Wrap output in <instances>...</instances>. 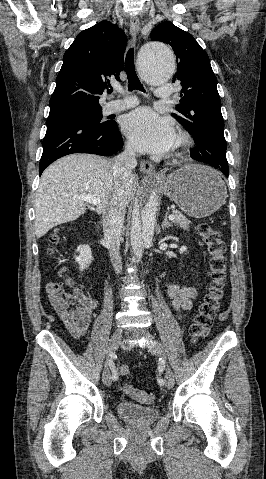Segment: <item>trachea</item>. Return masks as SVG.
<instances>
[{
  "mask_svg": "<svg viewBox=\"0 0 266 479\" xmlns=\"http://www.w3.org/2000/svg\"><path fill=\"white\" fill-rule=\"evenodd\" d=\"M125 67L127 72L128 79V90H139L145 92L143 85L141 84L134 67V50L130 48L126 54L125 58ZM109 93H112V89L109 90Z\"/></svg>",
  "mask_w": 266,
  "mask_h": 479,
  "instance_id": "obj_1",
  "label": "trachea"
}]
</instances>
